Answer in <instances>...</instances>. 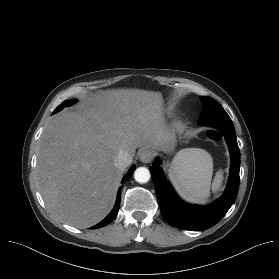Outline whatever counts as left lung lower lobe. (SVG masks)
Here are the masks:
<instances>
[{
	"label": "left lung lower lobe",
	"mask_w": 279,
	"mask_h": 279,
	"mask_svg": "<svg viewBox=\"0 0 279 279\" xmlns=\"http://www.w3.org/2000/svg\"><path fill=\"white\" fill-rule=\"evenodd\" d=\"M219 129L225 136L231 154V169L224 195L214 204L206 207L185 204L167 182L159 161L150 167L158 202L164 219L180 229L200 231L215 225L234 203L239 189L240 150L238 148L232 120L204 123Z\"/></svg>",
	"instance_id": "0a47b994"
}]
</instances>
